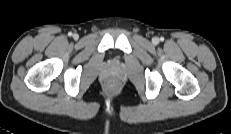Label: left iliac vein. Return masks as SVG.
Listing matches in <instances>:
<instances>
[{"label":"left iliac vein","instance_id":"left-iliac-vein-1","mask_svg":"<svg viewBox=\"0 0 231 134\" xmlns=\"http://www.w3.org/2000/svg\"><path fill=\"white\" fill-rule=\"evenodd\" d=\"M157 41H158V39H157V38L153 39V42H154V43H156Z\"/></svg>","mask_w":231,"mask_h":134}]
</instances>
